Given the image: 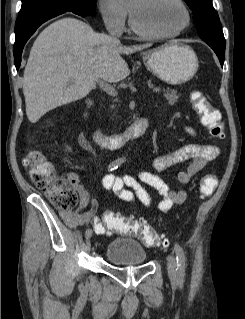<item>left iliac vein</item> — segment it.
Instances as JSON below:
<instances>
[{"label": "left iliac vein", "instance_id": "4c4485c4", "mask_svg": "<svg viewBox=\"0 0 245 319\" xmlns=\"http://www.w3.org/2000/svg\"><path fill=\"white\" fill-rule=\"evenodd\" d=\"M167 270L169 278L172 281H176V260L173 256L168 257Z\"/></svg>", "mask_w": 245, "mask_h": 319}]
</instances>
